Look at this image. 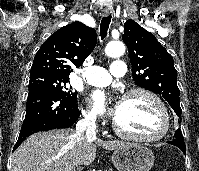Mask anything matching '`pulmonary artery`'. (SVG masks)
Returning <instances> with one entry per match:
<instances>
[{"label": "pulmonary artery", "mask_w": 199, "mask_h": 171, "mask_svg": "<svg viewBox=\"0 0 199 171\" xmlns=\"http://www.w3.org/2000/svg\"><path fill=\"white\" fill-rule=\"evenodd\" d=\"M125 71V62L119 59L114 60L111 63L109 71L99 66L86 68V81L94 86H106L111 82L112 77H122Z\"/></svg>", "instance_id": "e3ab8cb5"}]
</instances>
